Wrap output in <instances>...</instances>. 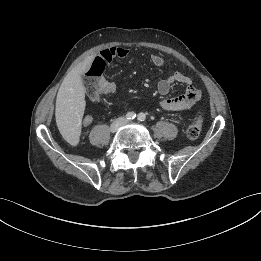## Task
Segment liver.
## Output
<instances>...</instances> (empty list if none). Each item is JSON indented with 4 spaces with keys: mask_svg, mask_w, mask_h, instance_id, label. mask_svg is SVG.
<instances>
[{
    "mask_svg": "<svg viewBox=\"0 0 261 261\" xmlns=\"http://www.w3.org/2000/svg\"><path fill=\"white\" fill-rule=\"evenodd\" d=\"M92 57L74 67L64 78L56 98L55 116L62 134L79 131L85 110V89L81 75L89 70Z\"/></svg>",
    "mask_w": 261,
    "mask_h": 261,
    "instance_id": "1",
    "label": "liver"
}]
</instances>
